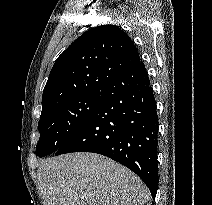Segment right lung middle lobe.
Masks as SVG:
<instances>
[{
    "instance_id": "obj_1",
    "label": "right lung middle lobe",
    "mask_w": 212,
    "mask_h": 205,
    "mask_svg": "<svg viewBox=\"0 0 212 205\" xmlns=\"http://www.w3.org/2000/svg\"><path fill=\"white\" fill-rule=\"evenodd\" d=\"M100 101L101 91L88 93L62 102L41 114L37 156L55 153L87 120Z\"/></svg>"
}]
</instances>
